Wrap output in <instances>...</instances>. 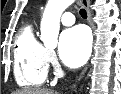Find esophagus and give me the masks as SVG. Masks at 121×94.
Returning a JSON list of instances; mask_svg holds the SVG:
<instances>
[{
    "mask_svg": "<svg viewBox=\"0 0 121 94\" xmlns=\"http://www.w3.org/2000/svg\"><path fill=\"white\" fill-rule=\"evenodd\" d=\"M80 3L82 5V7L85 8L87 15H88V22H89L90 26L92 27V29L94 30V25L92 23V16H91V11H90V1L89 0H80ZM87 68H88V66H86L84 68V70L82 71L78 81H80L83 78L84 74L87 71Z\"/></svg>",
    "mask_w": 121,
    "mask_h": 94,
    "instance_id": "esophagus-1",
    "label": "esophagus"
}]
</instances>
